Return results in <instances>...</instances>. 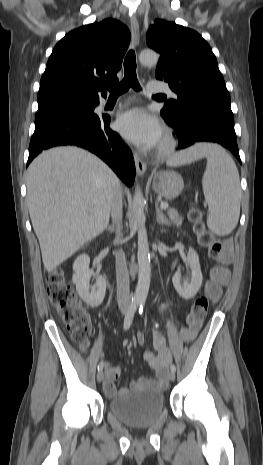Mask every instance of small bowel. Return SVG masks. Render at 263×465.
Returning <instances> with one entry per match:
<instances>
[{"label": "small bowel", "instance_id": "1", "mask_svg": "<svg viewBox=\"0 0 263 465\" xmlns=\"http://www.w3.org/2000/svg\"><path fill=\"white\" fill-rule=\"evenodd\" d=\"M219 259L224 263L228 264L230 261V252L228 250L224 251ZM229 278V270L226 266L213 268L210 273V279L205 285V292L209 296L217 301L221 296V286L227 282ZM172 304L171 301H165L160 305L159 310L162 311ZM205 322H200L198 325V330L200 334H205ZM196 334V331L182 329V338L184 340H191ZM137 341L139 344H143L145 341L144 335L142 333L137 334ZM153 345L156 352L145 351L143 354L144 360L149 364V366L154 370L156 374L155 379H149L142 377L137 381L132 383V386L138 387H149L154 389L165 388L167 385V368L171 361V354L166 348L165 339L159 332L153 333ZM106 376L104 381V392L107 396L113 397L117 394H121L127 391L126 388L117 390L115 386V380L120 377L121 368L120 366H109L106 365Z\"/></svg>", "mask_w": 263, "mask_h": 465}]
</instances>
